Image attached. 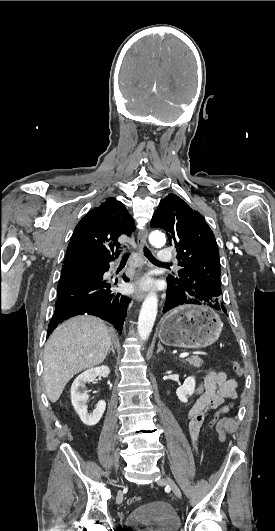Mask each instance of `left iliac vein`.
<instances>
[{
    "label": "left iliac vein",
    "instance_id": "1",
    "mask_svg": "<svg viewBox=\"0 0 275 531\" xmlns=\"http://www.w3.org/2000/svg\"><path fill=\"white\" fill-rule=\"evenodd\" d=\"M159 484L163 483L167 486H170L171 489H172V492L174 493V495L176 497H178L179 499L182 498V493L178 487V485L170 478V477H161L159 478L158 480Z\"/></svg>",
    "mask_w": 275,
    "mask_h": 531
}]
</instances>
